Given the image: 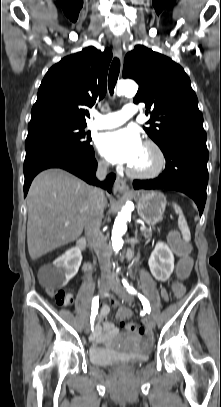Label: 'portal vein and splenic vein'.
I'll return each instance as SVG.
<instances>
[{
	"label": "portal vein and splenic vein",
	"instance_id": "obj_1",
	"mask_svg": "<svg viewBox=\"0 0 221 407\" xmlns=\"http://www.w3.org/2000/svg\"><path fill=\"white\" fill-rule=\"evenodd\" d=\"M68 224H69V223L66 222V223H65V226H67ZM145 229H146V227H145L144 225H142V226L140 227V230H141V231H144Z\"/></svg>",
	"mask_w": 221,
	"mask_h": 407
}]
</instances>
